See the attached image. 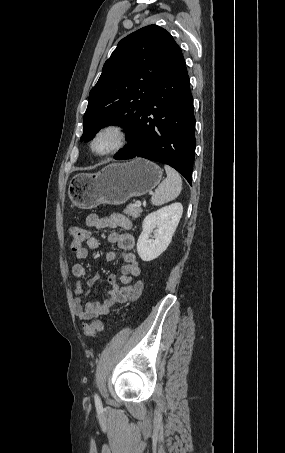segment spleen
<instances>
[{"label": "spleen", "mask_w": 285, "mask_h": 453, "mask_svg": "<svg viewBox=\"0 0 285 453\" xmlns=\"http://www.w3.org/2000/svg\"><path fill=\"white\" fill-rule=\"evenodd\" d=\"M167 177L161 182L151 198L155 206L163 205L177 198L182 190V179L170 166H164Z\"/></svg>", "instance_id": "3e777b00"}]
</instances>
